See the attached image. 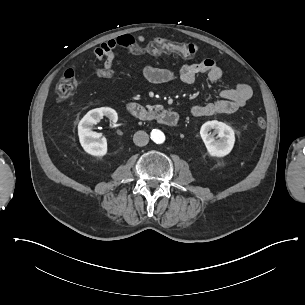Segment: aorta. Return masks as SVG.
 <instances>
[{"label":"aorta","mask_w":305,"mask_h":305,"mask_svg":"<svg viewBox=\"0 0 305 305\" xmlns=\"http://www.w3.org/2000/svg\"><path fill=\"white\" fill-rule=\"evenodd\" d=\"M152 140L157 143V144H161L165 141V135L162 131L160 130H154L152 132Z\"/></svg>","instance_id":"aorta-1"}]
</instances>
